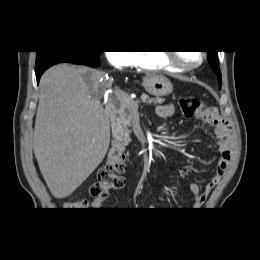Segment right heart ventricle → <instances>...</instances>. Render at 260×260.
<instances>
[{
    "instance_id": "obj_1",
    "label": "right heart ventricle",
    "mask_w": 260,
    "mask_h": 260,
    "mask_svg": "<svg viewBox=\"0 0 260 260\" xmlns=\"http://www.w3.org/2000/svg\"><path fill=\"white\" fill-rule=\"evenodd\" d=\"M136 68L153 70V71H167L172 73L180 72L179 69L172 66L164 54L160 51L140 50L134 53V64Z\"/></svg>"
}]
</instances>
